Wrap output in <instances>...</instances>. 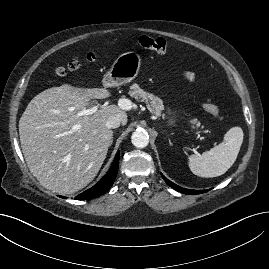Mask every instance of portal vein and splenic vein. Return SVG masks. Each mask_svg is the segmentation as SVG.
<instances>
[{
	"label": "portal vein and splenic vein",
	"instance_id": "obj_1",
	"mask_svg": "<svg viewBox=\"0 0 269 269\" xmlns=\"http://www.w3.org/2000/svg\"><path fill=\"white\" fill-rule=\"evenodd\" d=\"M98 108H99V106L96 105V106H93L90 109H83L82 111H80L78 113V116L92 115V114H94V113H96L98 111Z\"/></svg>",
	"mask_w": 269,
	"mask_h": 269
}]
</instances>
